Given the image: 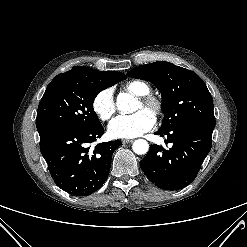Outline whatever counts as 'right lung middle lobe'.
Returning <instances> with one entry per match:
<instances>
[{"mask_svg": "<svg viewBox=\"0 0 247 247\" xmlns=\"http://www.w3.org/2000/svg\"><path fill=\"white\" fill-rule=\"evenodd\" d=\"M119 81L77 74H59L48 85L37 110L40 136L66 128L89 129L100 124L93 110L95 97Z\"/></svg>", "mask_w": 247, "mask_h": 247, "instance_id": "dd1d6c3e", "label": "right lung middle lobe"}]
</instances>
